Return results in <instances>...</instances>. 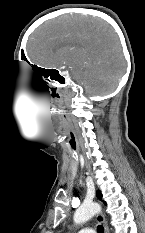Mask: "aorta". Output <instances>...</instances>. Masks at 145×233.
<instances>
[{"label": "aorta", "mask_w": 145, "mask_h": 233, "mask_svg": "<svg viewBox=\"0 0 145 233\" xmlns=\"http://www.w3.org/2000/svg\"><path fill=\"white\" fill-rule=\"evenodd\" d=\"M101 207L97 203L82 204L74 213V223L82 224L91 219L95 214L100 212Z\"/></svg>", "instance_id": "aorta-1"}]
</instances>
